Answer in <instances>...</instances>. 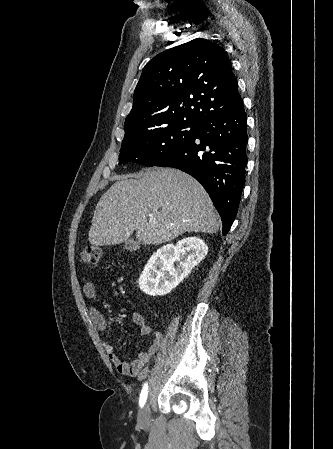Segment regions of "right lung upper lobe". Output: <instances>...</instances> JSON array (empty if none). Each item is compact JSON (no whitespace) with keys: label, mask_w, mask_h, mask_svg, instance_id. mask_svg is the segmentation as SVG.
<instances>
[{"label":"right lung upper lobe","mask_w":333,"mask_h":449,"mask_svg":"<svg viewBox=\"0 0 333 449\" xmlns=\"http://www.w3.org/2000/svg\"><path fill=\"white\" fill-rule=\"evenodd\" d=\"M239 97L225 50L210 40L194 39L158 54L144 67L123 140L172 121L200 123Z\"/></svg>","instance_id":"obj_1"}]
</instances>
